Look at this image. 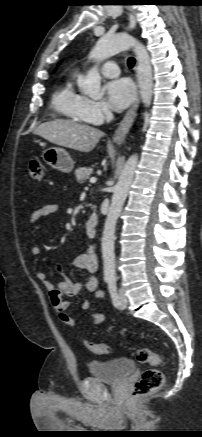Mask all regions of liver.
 I'll list each match as a JSON object with an SVG mask.
<instances>
[{"label":"liver","instance_id":"6515ba94","mask_svg":"<svg viewBox=\"0 0 202 437\" xmlns=\"http://www.w3.org/2000/svg\"><path fill=\"white\" fill-rule=\"evenodd\" d=\"M34 134L53 144L80 152L93 150L99 139L104 135L97 128L62 119L40 124L34 130Z\"/></svg>","mask_w":202,"mask_h":437}]
</instances>
